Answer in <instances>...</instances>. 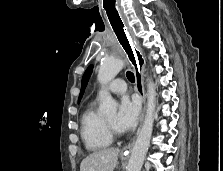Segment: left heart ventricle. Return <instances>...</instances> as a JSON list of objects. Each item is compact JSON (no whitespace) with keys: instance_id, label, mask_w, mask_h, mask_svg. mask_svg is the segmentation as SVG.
Instances as JSON below:
<instances>
[{"instance_id":"left-heart-ventricle-1","label":"left heart ventricle","mask_w":223,"mask_h":171,"mask_svg":"<svg viewBox=\"0 0 223 171\" xmlns=\"http://www.w3.org/2000/svg\"><path fill=\"white\" fill-rule=\"evenodd\" d=\"M116 115H110L106 117V120L115 128L114 123H115Z\"/></svg>"}]
</instances>
